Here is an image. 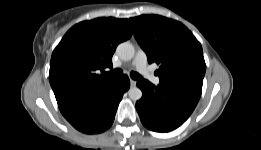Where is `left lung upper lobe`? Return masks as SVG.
Segmentation results:
<instances>
[{
  "instance_id": "5c2ea615",
  "label": "left lung upper lobe",
  "mask_w": 261,
  "mask_h": 150,
  "mask_svg": "<svg viewBox=\"0 0 261 150\" xmlns=\"http://www.w3.org/2000/svg\"><path fill=\"white\" fill-rule=\"evenodd\" d=\"M148 62L160 65V83H181L202 90L206 64L201 44L180 22L158 15L130 18Z\"/></svg>"
}]
</instances>
